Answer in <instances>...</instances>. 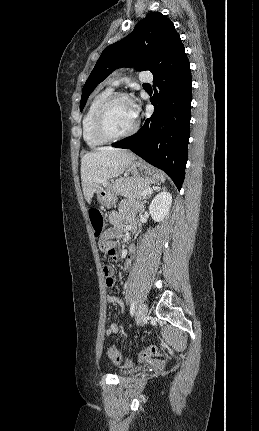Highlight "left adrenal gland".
<instances>
[{"label":"left adrenal gland","mask_w":259,"mask_h":431,"mask_svg":"<svg viewBox=\"0 0 259 431\" xmlns=\"http://www.w3.org/2000/svg\"><path fill=\"white\" fill-rule=\"evenodd\" d=\"M163 189H165V187H164ZM150 196H151V194H149V195L147 196L146 200H144V201H143V203H146V202H147V199H148V198H150Z\"/></svg>","instance_id":"a2214340"}]
</instances>
